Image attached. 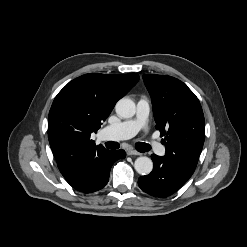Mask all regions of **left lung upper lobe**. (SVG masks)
<instances>
[{
  "label": "left lung upper lobe",
  "mask_w": 247,
  "mask_h": 247,
  "mask_svg": "<svg viewBox=\"0 0 247 247\" xmlns=\"http://www.w3.org/2000/svg\"><path fill=\"white\" fill-rule=\"evenodd\" d=\"M152 99L156 129L165 136V156L194 172L204 144L205 120L196 95L180 80L144 74Z\"/></svg>",
  "instance_id": "5c2ea615"
}]
</instances>
